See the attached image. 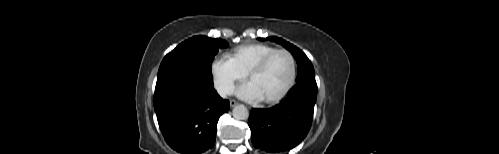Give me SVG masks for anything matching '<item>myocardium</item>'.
Masks as SVG:
<instances>
[{
  "label": "myocardium",
  "mask_w": 499,
  "mask_h": 154,
  "mask_svg": "<svg viewBox=\"0 0 499 154\" xmlns=\"http://www.w3.org/2000/svg\"><path fill=\"white\" fill-rule=\"evenodd\" d=\"M278 54H284L289 58L290 63H291L290 78H289L286 86L283 88V90L278 95H276L272 98L262 99V102H264L265 104H275V103L280 102L284 97L287 96V94L292 89V87L295 83L296 74H297V64H296L295 57L292 55L291 52H289L286 49H276V50L270 52L269 54H267L266 56H264L254 66H252L251 69L247 72V77H248V79H250L254 74H257V73L261 72L262 70H264L266 68V66L268 65V63L273 59V57H275Z\"/></svg>",
  "instance_id": "1"
}]
</instances>
